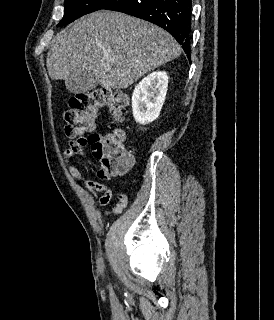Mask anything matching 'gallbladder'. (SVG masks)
Segmentation results:
<instances>
[{
    "label": "gallbladder",
    "instance_id": "gallbladder-1",
    "mask_svg": "<svg viewBox=\"0 0 274 320\" xmlns=\"http://www.w3.org/2000/svg\"><path fill=\"white\" fill-rule=\"evenodd\" d=\"M67 77L65 83L68 85L69 95H82L84 92L96 88L98 84L95 76L92 72H89L88 68H71Z\"/></svg>",
    "mask_w": 274,
    "mask_h": 320
}]
</instances>
